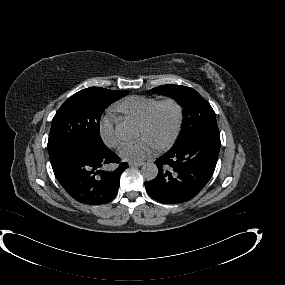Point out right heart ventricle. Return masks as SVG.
<instances>
[{"mask_svg":"<svg viewBox=\"0 0 285 285\" xmlns=\"http://www.w3.org/2000/svg\"><path fill=\"white\" fill-rule=\"evenodd\" d=\"M160 101L158 98L131 97L120 106V110L129 120L144 124L153 115Z\"/></svg>","mask_w":285,"mask_h":285,"instance_id":"e07e8e85","label":"right heart ventricle"}]
</instances>
